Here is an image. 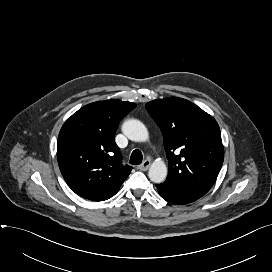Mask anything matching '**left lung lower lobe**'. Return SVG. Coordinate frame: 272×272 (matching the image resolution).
I'll return each instance as SVG.
<instances>
[{
  "instance_id": "1",
  "label": "left lung lower lobe",
  "mask_w": 272,
  "mask_h": 272,
  "mask_svg": "<svg viewBox=\"0 0 272 272\" xmlns=\"http://www.w3.org/2000/svg\"><path fill=\"white\" fill-rule=\"evenodd\" d=\"M160 196L172 204H188L196 201L205 195L207 190H198L194 188H185L181 191H170L163 184L156 185Z\"/></svg>"
}]
</instances>
